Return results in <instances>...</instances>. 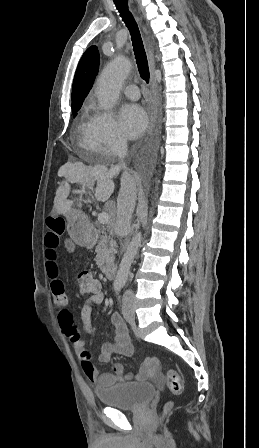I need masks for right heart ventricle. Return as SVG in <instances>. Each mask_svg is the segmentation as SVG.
Segmentation results:
<instances>
[{
    "instance_id": "right-heart-ventricle-1",
    "label": "right heart ventricle",
    "mask_w": 259,
    "mask_h": 448,
    "mask_svg": "<svg viewBox=\"0 0 259 448\" xmlns=\"http://www.w3.org/2000/svg\"><path fill=\"white\" fill-rule=\"evenodd\" d=\"M98 112L94 109L91 101L87 100L76 119V128L81 136L83 146L89 150L93 149L92 136L97 121ZM88 163H97L99 158L95 155H87Z\"/></svg>"
}]
</instances>
